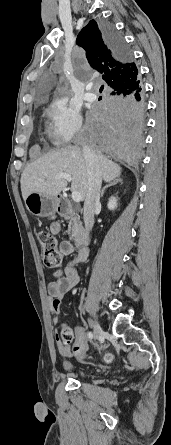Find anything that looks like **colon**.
<instances>
[{
  "label": "colon",
  "mask_w": 171,
  "mask_h": 445,
  "mask_svg": "<svg viewBox=\"0 0 171 445\" xmlns=\"http://www.w3.org/2000/svg\"><path fill=\"white\" fill-rule=\"evenodd\" d=\"M38 239L42 247L43 251V263L46 267L52 269H58L61 267L63 259L62 255L57 248V240L56 238L47 232H39ZM60 338L63 343L70 344L73 341V332L68 327H63L60 332ZM73 352L76 356H83L85 349L81 345H74ZM113 360V356L111 354H107L105 356L106 362H111Z\"/></svg>",
  "instance_id": "1"
}]
</instances>
